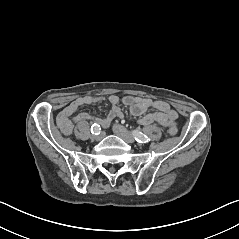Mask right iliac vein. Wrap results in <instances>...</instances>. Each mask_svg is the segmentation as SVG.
I'll use <instances>...</instances> for the list:
<instances>
[{
    "label": "right iliac vein",
    "mask_w": 239,
    "mask_h": 239,
    "mask_svg": "<svg viewBox=\"0 0 239 239\" xmlns=\"http://www.w3.org/2000/svg\"><path fill=\"white\" fill-rule=\"evenodd\" d=\"M104 136H105V132H100V134L98 136H93L92 139L98 141V140L103 139Z\"/></svg>",
    "instance_id": "obj_1"
}]
</instances>
